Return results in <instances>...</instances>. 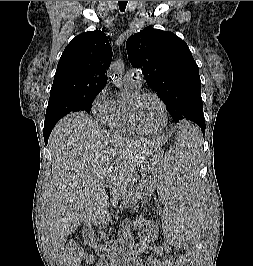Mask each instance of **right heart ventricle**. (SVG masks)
<instances>
[{
	"instance_id": "right-heart-ventricle-1",
	"label": "right heart ventricle",
	"mask_w": 253,
	"mask_h": 266,
	"mask_svg": "<svg viewBox=\"0 0 253 266\" xmlns=\"http://www.w3.org/2000/svg\"><path fill=\"white\" fill-rule=\"evenodd\" d=\"M140 91L141 85L130 82L125 83V93L113 102L106 122L110 131L122 136H136L141 134L133 126L129 113V102Z\"/></svg>"
}]
</instances>
